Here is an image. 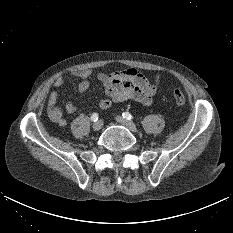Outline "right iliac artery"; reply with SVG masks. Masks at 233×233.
Returning a JSON list of instances; mask_svg holds the SVG:
<instances>
[{
	"mask_svg": "<svg viewBox=\"0 0 233 233\" xmlns=\"http://www.w3.org/2000/svg\"><path fill=\"white\" fill-rule=\"evenodd\" d=\"M98 120V114L97 113H93L91 116V121L92 122H96Z\"/></svg>",
	"mask_w": 233,
	"mask_h": 233,
	"instance_id": "obj_1",
	"label": "right iliac artery"
}]
</instances>
